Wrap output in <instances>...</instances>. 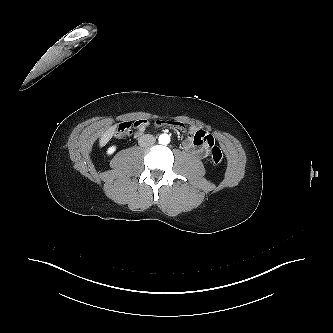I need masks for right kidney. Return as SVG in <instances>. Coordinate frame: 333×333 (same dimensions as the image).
I'll return each mask as SVG.
<instances>
[{
	"mask_svg": "<svg viewBox=\"0 0 333 333\" xmlns=\"http://www.w3.org/2000/svg\"><path fill=\"white\" fill-rule=\"evenodd\" d=\"M115 149H116V147H115V146H111L110 148H108V150H107V154H108V155H111V154H113V153H114V151H115Z\"/></svg>",
	"mask_w": 333,
	"mask_h": 333,
	"instance_id": "1",
	"label": "right kidney"
}]
</instances>
